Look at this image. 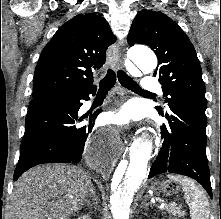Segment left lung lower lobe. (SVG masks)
Listing matches in <instances>:
<instances>
[{
	"mask_svg": "<svg viewBox=\"0 0 221 219\" xmlns=\"http://www.w3.org/2000/svg\"><path fill=\"white\" fill-rule=\"evenodd\" d=\"M163 115L169 124L161 129L162 148L148 178L165 172L185 175L198 181L212 198L206 157V115L180 105L171 106L170 112Z\"/></svg>",
	"mask_w": 221,
	"mask_h": 219,
	"instance_id": "0a47b994",
	"label": "left lung lower lobe"
}]
</instances>
